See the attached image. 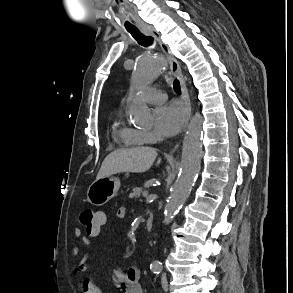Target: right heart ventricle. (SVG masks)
<instances>
[{
	"label": "right heart ventricle",
	"instance_id": "obj_1",
	"mask_svg": "<svg viewBox=\"0 0 293 293\" xmlns=\"http://www.w3.org/2000/svg\"><path fill=\"white\" fill-rule=\"evenodd\" d=\"M114 135L117 137L124 145L129 147L140 146L145 142L138 136L136 130L126 128L122 126L119 122L114 125Z\"/></svg>",
	"mask_w": 293,
	"mask_h": 293
}]
</instances>
